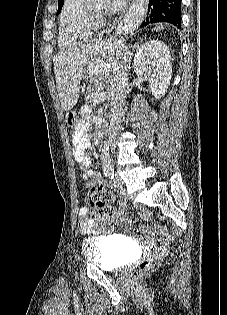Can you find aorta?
I'll list each match as a JSON object with an SVG mask.
<instances>
[{
  "label": "aorta",
  "mask_w": 227,
  "mask_h": 315,
  "mask_svg": "<svg viewBox=\"0 0 227 315\" xmlns=\"http://www.w3.org/2000/svg\"><path fill=\"white\" fill-rule=\"evenodd\" d=\"M88 1H91L93 3H97V4H100V3H103L105 0H88ZM127 30V29H126ZM101 159H105L107 161H110V156H109V147L106 143H104L103 145V148H102V155H101Z\"/></svg>",
  "instance_id": "aorta-1"
}]
</instances>
